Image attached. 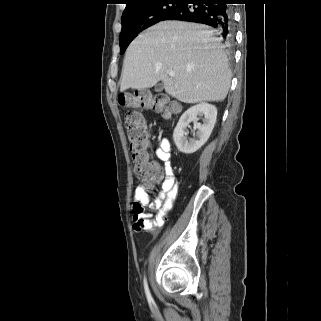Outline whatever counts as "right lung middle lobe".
Here are the masks:
<instances>
[{
    "label": "right lung middle lobe",
    "mask_w": 321,
    "mask_h": 321,
    "mask_svg": "<svg viewBox=\"0 0 321 321\" xmlns=\"http://www.w3.org/2000/svg\"><path fill=\"white\" fill-rule=\"evenodd\" d=\"M183 0H153L122 17L119 36L120 53H124L131 41L143 30L162 21L163 17L178 8Z\"/></svg>",
    "instance_id": "1"
}]
</instances>
